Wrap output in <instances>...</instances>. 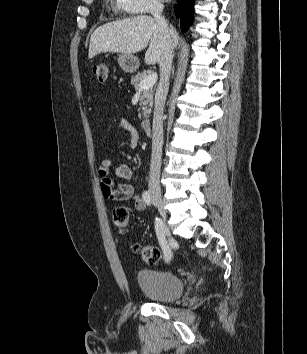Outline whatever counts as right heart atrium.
Wrapping results in <instances>:
<instances>
[{
	"label": "right heart atrium",
	"instance_id": "right-heart-atrium-1",
	"mask_svg": "<svg viewBox=\"0 0 307 354\" xmlns=\"http://www.w3.org/2000/svg\"><path fill=\"white\" fill-rule=\"evenodd\" d=\"M117 5L131 14L151 13L162 8L161 0H117Z\"/></svg>",
	"mask_w": 307,
	"mask_h": 354
}]
</instances>
